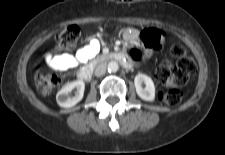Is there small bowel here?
<instances>
[{
    "label": "small bowel",
    "mask_w": 225,
    "mask_h": 155,
    "mask_svg": "<svg viewBox=\"0 0 225 155\" xmlns=\"http://www.w3.org/2000/svg\"><path fill=\"white\" fill-rule=\"evenodd\" d=\"M128 44L133 45L138 39V32L135 30L127 31L125 34ZM100 49V42L97 39H92L86 46L80 48L75 55L60 54L52 55L47 54L45 56L46 63L56 70H68L75 67L79 63H84L87 60L94 57ZM150 52H146V56H149Z\"/></svg>",
    "instance_id": "1"
}]
</instances>
